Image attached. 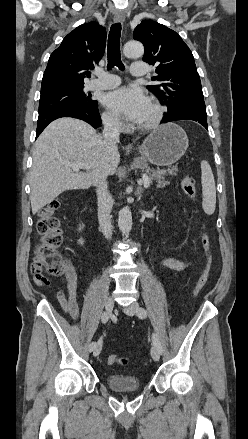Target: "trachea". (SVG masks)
<instances>
[{
    "instance_id": "obj_1",
    "label": "trachea",
    "mask_w": 248,
    "mask_h": 439,
    "mask_svg": "<svg viewBox=\"0 0 248 439\" xmlns=\"http://www.w3.org/2000/svg\"><path fill=\"white\" fill-rule=\"evenodd\" d=\"M120 35L121 24L115 23L111 26L108 36L107 57H108V69L117 66L119 69L124 70V65L121 61L120 55Z\"/></svg>"
}]
</instances>
